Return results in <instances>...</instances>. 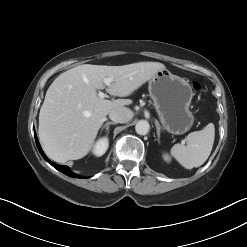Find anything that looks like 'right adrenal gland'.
Returning <instances> with one entry per match:
<instances>
[{
    "instance_id": "2a0ac1e0",
    "label": "right adrenal gland",
    "mask_w": 247,
    "mask_h": 247,
    "mask_svg": "<svg viewBox=\"0 0 247 247\" xmlns=\"http://www.w3.org/2000/svg\"><path fill=\"white\" fill-rule=\"evenodd\" d=\"M116 123L115 122H106L103 126H102V129H101V131L103 130V129H106V133L109 131V126L110 125H115Z\"/></svg>"
}]
</instances>
